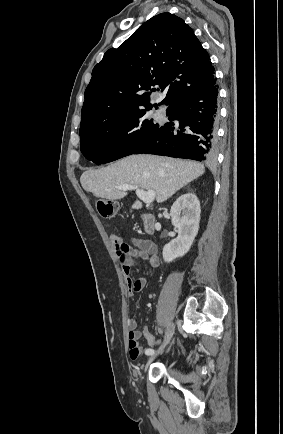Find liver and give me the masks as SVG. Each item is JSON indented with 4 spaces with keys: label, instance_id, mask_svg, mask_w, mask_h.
I'll use <instances>...</instances> for the list:
<instances>
[{
    "label": "liver",
    "instance_id": "liver-1",
    "mask_svg": "<svg viewBox=\"0 0 283 434\" xmlns=\"http://www.w3.org/2000/svg\"><path fill=\"white\" fill-rule=\"evenodd\" d=\"M205 172L202 164L156 155H130L107 167L88 169L82 173L83 189L99 198L119 200L127 193L118 186L129 184L142 190L154 191L158 203H162L185 185ZM133 209H141L136 200Z\"/></svg>",
    "mask_w": 283,
    "mask_h": 434
}]
</instances>
